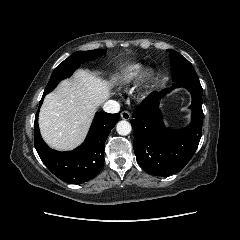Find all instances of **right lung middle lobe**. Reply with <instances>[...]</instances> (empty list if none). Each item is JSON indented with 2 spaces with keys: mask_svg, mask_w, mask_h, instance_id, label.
I'll return each instance as SVG.
<instances>
[{
  "mask_svg": "<svg viewBox=\"0 0 240 240\" xmlns=\"http://www.w3.org/2000/svg\"><path fill=\"white\" fill-rule=\"evenodd\" d=\"M105 53V49L78 51L73 53L55 68L44 90V94L51 92L62 79L70 77L81 63L94 60L98 56H101Z\"/></svg>",
  "mask_w": 240,
  "mask_h": 240,
  "instance_id": "obj_1",
  "label": "right lung middle lobe"
}]
</instances>
